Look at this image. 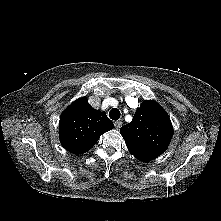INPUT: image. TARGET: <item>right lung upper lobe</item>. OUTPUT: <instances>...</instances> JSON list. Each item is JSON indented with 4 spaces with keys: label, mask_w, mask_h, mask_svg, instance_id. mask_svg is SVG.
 Instances as JSON below:
<instances>
[{
    "label": "right lung upper lobe",
    "mask_w": 221,
    "mask_h": 221,
    "mask_svg": "<svg viewBox=\"0 0 221 221\" xmlns=\"http://www.w3.org/2000/svg\"><path fill=\"white\" fill-rule=\"evenodd\" d=\"M114 124L104 112L91 107L85 97L66 108L60 118L59 138L62 146L75 154L90 150L101 134Z\"/></svg>",
    "instance_id": "right-lung-upper-lobe-1"
}]
</instances>
